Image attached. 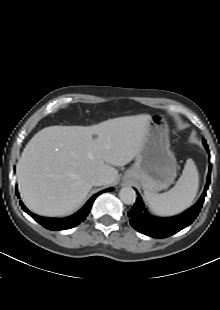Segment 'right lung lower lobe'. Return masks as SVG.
Returning a JSON list of instances; mask_svg holds the SVG:
<instances>
[{"label": "right lung lower lobe", "mask_w": 220, "mask_h": 310, "mask_svg": "<svg viewBox=\"0 0 220 310\" xmlns=\"http://www.w3.org/2000/svg\"><path fill=\"white\" fill-rule=\"evenodd\" d=\"M113 188H108L105 190H102L98 192L97 194L93 195L88 202L74 215L69 216L67 218H45V217H40L38 215H35L31 213L20 201V205L22 209L28 213L35 221H37L39 224H41L43 227H45L48 230H64V229H70L78 224H80L84 219L87 217L88 213L90 212V209L92 207V203L96 199L98 195H100L103 192H109L112 191ZM16 194L18 195V190L16 188ZM19 197V195H18Z\"/></svg>", "instance_id": "1"}]
</instances>
